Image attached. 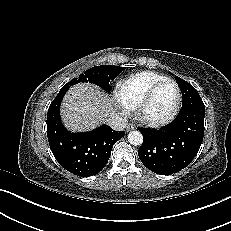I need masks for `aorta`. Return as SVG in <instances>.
I'll return each instance as SVG.
<instances>
[{"label":"aorta","mask_w":231,"mask_h":231,"mask_svg":"<svg viewBox=\"0 0 231 231\" xmlns=\"http://www.w3.org/2000/svg\"><path fill=\"white\" fill-rule=\"evenodd\" d=\"M128 142L131 145L139 146L143 143V135L139 131H131L128 134Z\"/></svg>","instance_id":"1"}]
</instances>
